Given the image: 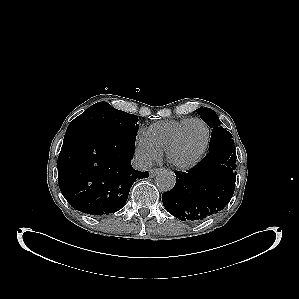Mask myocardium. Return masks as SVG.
Segmentation results:
<instances>
[{"mask_svg":"<svg viewBox=\"0 0 299 299\" xmlns=\"http://www.w3.org/2000/svg\"><path fill=\"white\" fill-rule=\"evenodd\" d=\"M193 122H198V123L202 124L206 130V136H205L203 146L201 147L200 151L193 158H191L190 160H188L186 162H179V161L173 159L172 153H173L174 149L176 148V146L178 145L185 128ZM209 140H210V129H209L208 125L206 124V122H204L202 119H199V118L189 119L176 131L173 138L171 139V141L167 145L166 149L164 150L166 159L172 166H174L180 170L189 169V168L195 166L202 159L203 155L205 154V152L208 148Z\"/></svg>","mask_w":299,"mask_h":299,"instance_id":"obj_1","label":"myocardium"}]
</instances>
